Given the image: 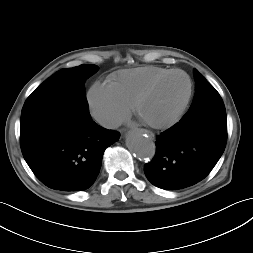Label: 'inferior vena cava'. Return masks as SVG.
Listing matches in <instances>:
<instances>
[{"label":"inferior vena cava","mask_w":253,"mask_h":253,"mask_svg":"<svg viewBox=\"0 0 253 253\" xmlns=\"http://www.w3.org/2000/svg\"><path fill=\"white\" fill-rule=\"evenodd\" d=\"M96 120L105 128H116L120 125V122L117 119L109 115H98Z\"/></svg>","instance_id":"602c4592"}]
</instances>
